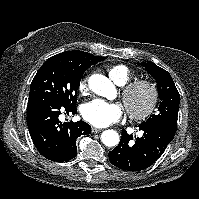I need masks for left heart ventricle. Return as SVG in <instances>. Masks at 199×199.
<instances>
[{
    "label": "left heart ventricle",
    "mask_w": 199,
    "mask_h": 199,
    "mask_svg": "<svg viewBox=\"0 0 199 199\" xmlns=\"http://www.w3.org/2000/svg\"><path fill=\"white\" fill-rule=\"evenodd\" d=\"M147 95L145 92H138L132 99L133 108L140 109L146 102Z\"/></svg>",
    "instance_id": "left-heart-ventricle-1"
}]
</instances>
